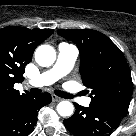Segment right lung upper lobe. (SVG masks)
<instances>
[{
    "mask_svg": "<svg viewBox=\"0 0 136 136\" xmlns=\"http://www.w3.org/2000/svg\"><path fill=\"white\" fill-rule=\"evenodd\" d=\"M52 33V29L15 26L0 29V112L29 95H20L13 86L24 80L25 66L31 62L35 48Z\"/></svg>",
    "mask_w": 136,
    "mask_h": 136,
    "instance_id": "right-lung-upper-lobe-1",
    "label": "right lung upper lobe"
}]
</instances>
